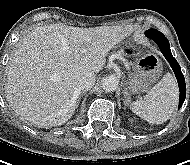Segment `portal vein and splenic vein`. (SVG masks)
<instances>
[{
    "instance_id": "1",
    "label": "portal vein and splenic vein",
    "mask_w": 190,
    "mask_h": 165,
    "mask_svg": "<svg viewBox=\"0 0 190 165\" xmlns=\"http://www.w3.org/2000/svg\"><path fill=\"white\" fill-rule=\"evenodd\" d=\"M86 41L89 43V42L91 41V39H90V38H86ZM87 51H88L87 48H82V49L80 50L81 53H86Z\"/></svg>"
}]
</instances>
